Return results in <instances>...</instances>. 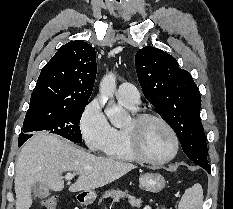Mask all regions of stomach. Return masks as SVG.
Listing matches in <instances>:
<instances>
[{
  "instance_id": "0dacf381",
  "label": "stomach",
  "mask_w": 233,
  "mask_h": 209,
  "mask_svg": "<svg viewBox=\"0 0 233 209\" xmlns=\"http://www.w3.org/2000/svg\"><path fill=\"white\" fill-rule=\"evenodd\" d=\"M165 179L159 173L149 172L142 174L139 178L140 187L149 192H159L165 187ZM96 199V194L94 192L86 193L83 203L91 204Z\"/></svg>"
}]
</instances>
